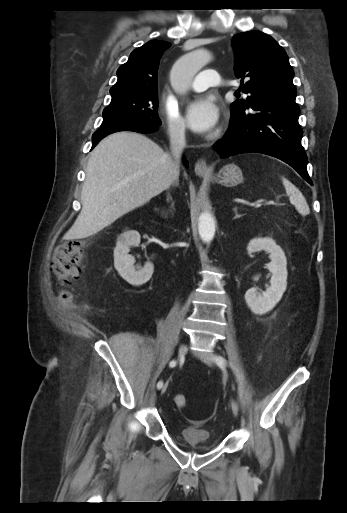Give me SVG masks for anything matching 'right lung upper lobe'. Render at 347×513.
Segmentation results:
<instances>
[{
	"mask_svg": "<svg viewBox=\"0 0 347 513\" xmlns=\"http://www.w3.org/2000/svg\"><path fill=\"white\" fill-rule=\"evenodd\" d=\"M170 45L167 41L151 40L132 51L128 61L117 70L118 80L110 89L111 95L157 90L159 61Z\"/></svg>",
	"mask_w": 347,
	"mask_h": 513,
	"instance_id": "right-lung-upper-lobe-1",
	"label": "right lung upper lobe"
}]
</instances>
